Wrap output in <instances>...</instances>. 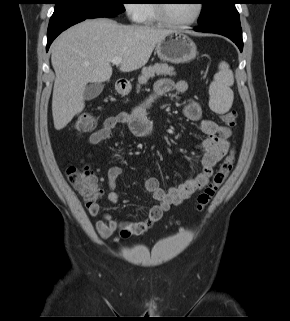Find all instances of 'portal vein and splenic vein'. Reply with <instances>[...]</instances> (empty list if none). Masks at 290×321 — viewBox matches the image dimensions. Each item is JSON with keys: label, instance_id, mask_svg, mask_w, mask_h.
Segmentation results:
<instances>
[{"label": "portal vein and splenic vein", "instance_id": "portal-vein-and-splenic-vein-1", "mask_svg": "<svg viewBox=\"0 0 290 321\" xmlns=\"http://www.w3.org/2000/svg\"><path fill=\"white\" fill-rule=\"evenodd\" d=\"M111 62L114 64V65H119L121 62H122V58L120 57H115L111 60Z\"/></svg>", "mask_w": 290, "mask_h": 321}]
</instances>
